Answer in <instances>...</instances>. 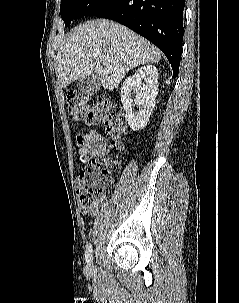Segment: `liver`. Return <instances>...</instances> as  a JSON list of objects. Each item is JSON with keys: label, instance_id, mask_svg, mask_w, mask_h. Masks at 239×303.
I'll use <instances>...</instances> for the list:
<instances>
[{"label": "liver", "instance_id": "obj_1", "mask_svg": "<svg viewBox=\"0 0 239 303\" xmlns=\"http://www.w3.org/2000/svg\"><path fill=\"white\" fill-rule=\"evenodd\" d=\"M160 51L132 30L109 20H95L71 30L56 57L58 81L66 88L95 73L104 89L118 87L129 70L158 63Z\"/></svg>", "mask_w": 239, "mask_h": 303}]
</instances>
